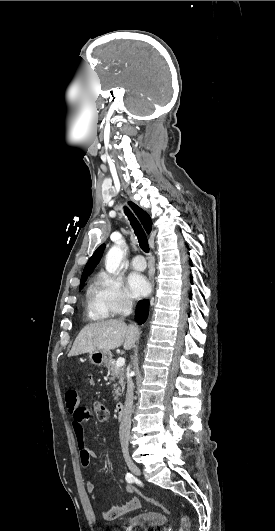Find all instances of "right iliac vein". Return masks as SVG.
<instances>
[{"mask_svg":"<svg viewBox=\"0 0 275 531\" xmlns=\"http://www.w3.org/2000/svg\"><path fill=\"white\" fill-rule=\"evenodd\" d=\"M125 461H126V464H127L128 468L130 469V471L134 475H140L141 474V471H140L139 467L133 462V460L131 459V457L128 454L125 455Z\"/></svg>","mask_w":275,"mask_h":531,"instance_id":"1","label":"right iliac vein"}]
</instances>
